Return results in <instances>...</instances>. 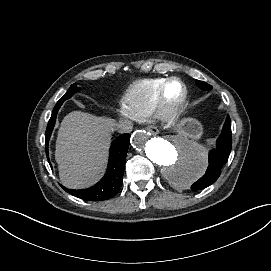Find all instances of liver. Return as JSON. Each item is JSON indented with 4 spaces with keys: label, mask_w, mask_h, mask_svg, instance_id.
Returning <instances> with one entry per match:
<instances>
[{
    "label": "liver",
    "mask_w": 271,
    "mask_h": 271,
    "mask_svg": "<svg viewBox=\"0 0 271 271\" xmlns=\"http://www.w3.org/2000/svg\"><path fill=\"white\" fill-rule=\"evenodd\" d=\"M113 123L83 112L65 117L58 133L56 161L64 185L79 188L102 172Z\"/></svg>",
    "instance_id": "6515ba94"
}]
</instances>
